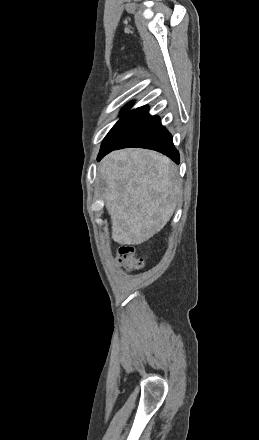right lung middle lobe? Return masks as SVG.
I'll return each mask as SVG.
<instances>
[{
  "mask_svg": "<svg viewBox=\"0 0 259 440\" xmlns=\"http://www.w3.org/2000/svg\"><path fill=\"white\" fill-rule=\"evenodd\" d=\"M132 104H128L123 108V116L120 118V120L114 125V127L110 130V132L107 134V136L117 127L119 126L128 116L130 113H132L133 110L128 111L130 109Z\"/></svg>",
  "mask_w": 259,
  "mask_h": 440,
  "instance_id": "1",
  "label": "right lung middle lobe"
}]
</instances>
